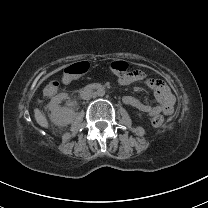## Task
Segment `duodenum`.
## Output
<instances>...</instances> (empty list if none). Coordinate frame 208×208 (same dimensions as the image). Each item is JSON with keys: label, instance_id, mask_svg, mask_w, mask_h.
Instances as JSON below:
<instances>
[{"label": "duodenum", "instance_id": "410a0bca", "mask_svg": "<svg viewBox=\"0 0 208 208\" xmlns=\"http://www.w3.org/2000/svg\"><path fill=\"white\" fill-rule=\"evenodd\" d=\"M92 87L95 88V89H100V88H101V85H99V84H94V85H92Z\"/></svg>", "mask_w": 208, "mask_h": 208}]
</instances>
